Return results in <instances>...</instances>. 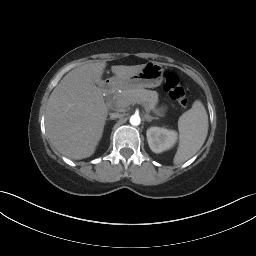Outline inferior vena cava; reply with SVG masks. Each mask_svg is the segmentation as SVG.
I'll return each instance as SVG.
<instances>
[{
    "instance_id": "inferior-vena-cava-1",
    "label": "inferior vena cava",
    "mask_w": 256,
    "mask_h": 256,
    "mask_svg": "<svg viewBox=\"0 0 256 256\" xmlns=\"http://www.w3.org/2000/svg\"><path fill=\"white\" fill-rule=\"evenodd\" d=\"M109 115H110L111 119H116V118L122 117V114H120L119 112H113V113H110Z\"/></svg>"
}]
</instances>
